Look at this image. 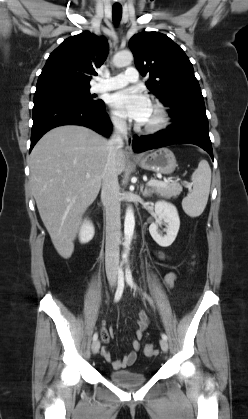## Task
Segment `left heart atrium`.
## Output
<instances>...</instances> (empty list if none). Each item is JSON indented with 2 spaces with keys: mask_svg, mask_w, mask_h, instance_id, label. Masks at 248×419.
I'll use <instances>...</instances> for the list:
<instances>
[{
  "mask_svg": "<svg viewBox=\"0 0 248 419\" xmlns=\"http://www.w3.org/2000/svg\"><path fill=\"white\" fill-rule=\"evenodd\" d=\"M110 105L116 113L129 120L143 123L148 117L151 103L138 88H126L114 93Z\"/></svg>",
  "mask_w": 248,
  "mask_h": 419,
  "instance_id": "obj_1",
  "label": "left heart atrium"
}]
</instances>
